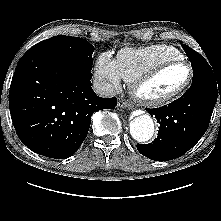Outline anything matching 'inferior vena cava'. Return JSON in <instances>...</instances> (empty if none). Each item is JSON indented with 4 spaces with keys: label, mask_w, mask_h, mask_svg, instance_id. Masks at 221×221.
Instances as JSON below:
<instances>
[{
    "label": "inferior vena cava",
    "mask_w": 221,
    "mask_h": 221,
    "mask_svg": "<svg viewBox=\"0 0 221 221\" xmlns=\"http://www.w3.org/2000/svg\"><path fill=\"white\" fill-rule=\"evenodd\" d=\"M95 93L101 97H113L116 95V90L112 84L102 79H95L93 82Z\"/></svg>",
    "instance_id": "inferior-vena-cava-1"
}]
</instances>
